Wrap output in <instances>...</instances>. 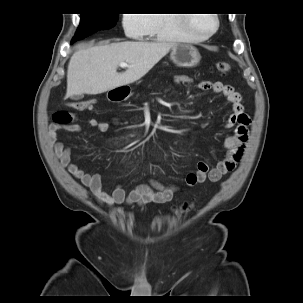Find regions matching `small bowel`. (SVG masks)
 Segmentation results:
<instances>
[{"mask_svg":"<svg viewBox=\"0 0 303 303\" xmlns=\"http://www.w3.org/2000/svg\"><path fill=\"white\" fill-rule=\"evenodd\" d=\"M173 81L175 84H182L190 83L192 79L186 75H176ZM197 87L200 90H211L213 93L221 94L227 99L230 103L232 114L224 126L232 128L233 133L224 140V148L226 149L225 158L219 161L213 168H210L207 162L200 161L196 172L187 176L185 188L194 187L197 183H202L207 179L214 183L218 182L224 175L234 170L245 150L251 124L250 117L244 113L242 95L232 86L215 81L212 83L199 82L197 83ZM88 123L100 133H107L110 129L107 122L95 118L89 119ZM60 129L79 132L81 131V126L78 124H70L64 127L50 126L48 129L49 144L60 164L73 177L78 179L82 185L87 187L92 196L101 204L107 206L123 204L144 206L148 203L164 204L170 202L177 194L185 190L184 187L163 185L152 180L149 184L138 185L128 194L121 185L115 186L109 193L98 175L86 173L76 163L72 162L70 148L57 140V131Z\"/></svg>","mask_w":303,"mask_h":303,"instance_id":"c3829d8e","label":"small bowel"}]
</instances>
